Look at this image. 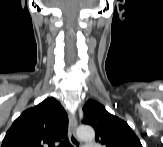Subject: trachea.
<instances>
[{
  "instance_id": "3493384b",
  "label": "trachea",
  "mask_w": 163,
  "mask_h": 147,
  "mask_svg": "<svg viewBox=\"0 0 163 147\" xmlns=\"http://www.w3.org/2000/svg\"><path fill=\"white\" fill-rule=\"evenodd\" d=\"M59 147H73V146L70 144L69 140L66 139L64 141H61V143L59 144Z\"/></svg>"
}]
</instances>
